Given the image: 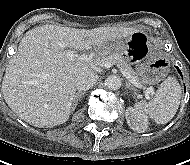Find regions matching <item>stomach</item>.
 Here are the masks:
<instances>
[{"label": "stomach", "mask_w": 190, "mask_h": 165, "mask_svg": "<svg viewBox=\"0 0 190 165\" xmlns=\"http://www.w3.org/2000/svg\"><path fill=\"white\" fill-rule=\"evenodd\" d=\"M112 52L120 53L140 80L148 85L158 83L168 69L167 60L152 49L151 42L145 35H125L122 39L106 42L98 50L101 56Z\"/></svg>", "instance_id": "obj_1"}]
</instances>
